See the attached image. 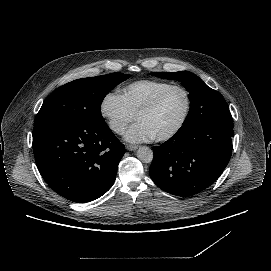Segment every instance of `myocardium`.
<instances>
[{
  "label": "myocardium",
  "mask_w": 271,
  "mask_h": 271,
  "mask_svg": "<svg viewBox=\"0 0 271 271\" xmlns=\"http://www.w3.org/2000/svg\"><path fill=\"white\" fill-rule=\"evenodd\" d=\"M174 89H181L185 96H186V109L185 113L178 123V125L171 130L169 133L159 136L154 138L156 142H167L172 140L174 137H176L181 130L184 128L185 124L187 123L189 116L191 114L192 110V104H193V99H192V94L191 91L184 85L182 84H171L165 89H163L161 92H159L147 105H145L136 115V119L139 117L146 115L148 113L153 112L163 101V99L168 95L169 92H171Z\"/></svg>",
  "instance_id": "f54148a6"
}]
</instances>
